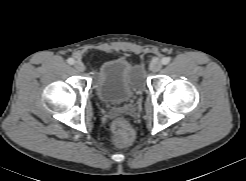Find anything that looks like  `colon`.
I'll return each mask as SVG.
<instances>
[{"label":"colon","instance_id":"colon-1","mask_svg":"<svg viewBox=\"0 0 246 181\" xmlns=\"http://www.w3.org/2000/svg\"><path fill=\"white\" fill-rule=\"evenodd\" d=\"M112 139L115 145H128L133 139V129L125 119H115L111 124Z\"/></svg>","mask_w":246,"mask_h":181}]
</instances>
